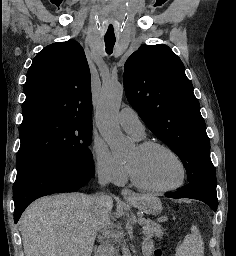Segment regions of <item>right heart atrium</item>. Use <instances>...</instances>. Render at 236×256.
Returning a JSON list of instances; mask_svg holds the SVG:
<instances>
[{
	"label": "right heart atrium",
	"mask_w": 236,
	"mask_h": 256,
	"mask_svg": "<svg viewBox=\"0 0 236 256\" xmlns=\"http://www.w3.org/2000/svg\"><path fill=\"white\" fill-rule=\"evenodd\" d=\"M93 158L98 176L116 186H123L129 179V171L125 164L117 161L109 149L101 142L93 144Z\"/></svg>",
	"instance_id": "obj_1"
}]
</instances>
